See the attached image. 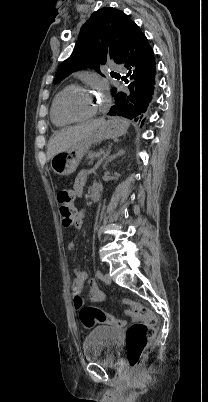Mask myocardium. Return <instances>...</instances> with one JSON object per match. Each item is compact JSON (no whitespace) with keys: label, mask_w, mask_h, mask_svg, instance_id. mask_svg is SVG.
Segmentation results:
<instances>
[{"label":"myocardium","mask_w":208,"mask_h":402,"mask_svg":"<svg viewBox=\"0 0 208 402\" xmlns=\"http://www.w3.org/2000/svg\"><path fill=\"white\" fill-rule=\"evenodd\" d=\"M86 90V86L84 85H79V84H74V85H70L68 87H66L62 93L60 94L59 97V109L62 113V115L64 117H66L69 120H73V121H84V120H88L90 118H92L101 108V106L103 105V103L107 102V99L105 97H102L99 100V103L97 106H95L90 112L86 113V114H74L72 112H70L66 105H65V97L72 91L74 90Z\"/></svg>","instance_id":"f54148a6"}]
</instances>
